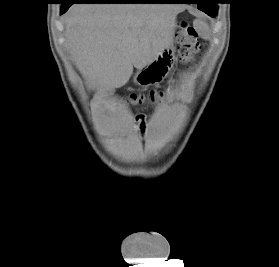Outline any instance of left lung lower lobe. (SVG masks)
<instances>
[{"label":"left lung lower lobe","instance_id":"left-lung-lower-lobe-1","mask_svg":"<svg viewBox=\"0 0 279 267\" xmlns=\"http://www.w3.org/2000/svg\"><path fill=\"white\" fill-rule=\"evenodd\" d=\"M176 3H197L198 9L207 13L211 17H215L218 10V7L216 6L218 2L216 0H180Z\"/></svg>","mask_w":279,"mask_h":267}]
</instances>
